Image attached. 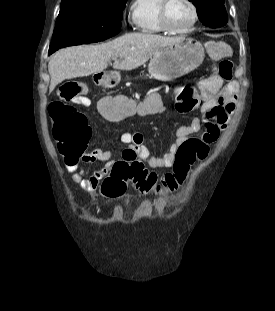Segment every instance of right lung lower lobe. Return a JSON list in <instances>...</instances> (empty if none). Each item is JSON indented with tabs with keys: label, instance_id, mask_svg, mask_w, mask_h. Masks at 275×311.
I'll return each instance as SVG.
<instances>
[{
	"label": "right lung lower lobe",
	"instance_id": "obj_1",
	"mask_svg": "<svg viewBox=\"0 0 275 311\" xmlns=\"http://www.w3.org/2000/svg\"><path fill=\"white\" fill-rule=\"evenodd\" d=\"M120 28H121V24H120V27H119V29H118L117 31L106 34V35L103 37V39L105 40V39H107V38H110V37L116 35L117 33H119Z\"/></svg>",
	"mask_w": 275,
	"mask_h": 311
}]
</instances>
